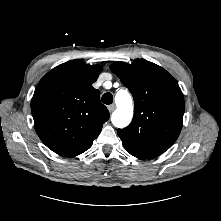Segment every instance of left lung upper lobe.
I'll list each match as a JSON object with an SVG mask.
<instances>
[{
	"label": "left lung upper lobe",
	"instance_id": "5c2ea615",
	"mask_svg": "<svg viewBox=\"0 0 221 221\" xmlns=\"http://www.w3.org/2000/svg\"><path fill=\"white\" fill-rule=\"evenodd\" d=\"M134 98V117L118 129L122 143L140 159L157 157L178 138L183 124L184 97L177 81L162 67L144 59L110 66Z\"/></svg>",
	"mask_w": 221,
	"mask_h": 221
}]
</instances>
